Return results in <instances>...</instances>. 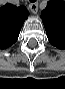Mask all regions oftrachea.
<instances>
[{"mask_svg":"<svg viewBox=\"0 0 65 89\" xmlns=\"http://www.w3.org/2000/svg\"><path fill=\"white\" fill-rule=\"evenodd\" d=\"M36 0H30L31 3H34Z\"/></svg>","mask_w":65,"mask_h":89,"instance_id":"1","label":"trachea"}]
</instances>
